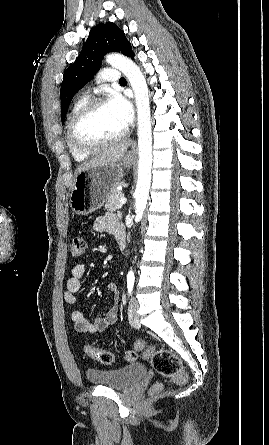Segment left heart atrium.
<instances>
[{
	"instance_id": "1",
	"label": "left heart atrium",
	"mask_w": 269,
	"mask_h": 445,
	"mask_svg": "<svg viewBox=\"0 0 269 445\" xmlns=\"http://www.w3.org/2000/svg\"><path fill=\"white\" fill-rule=\"evenodd\" d=\"M108 104L118 115L122 123L127 127L133 121L134 112L131 103L119 93L110 97Z\"/></svg>"
}]
</instances>
